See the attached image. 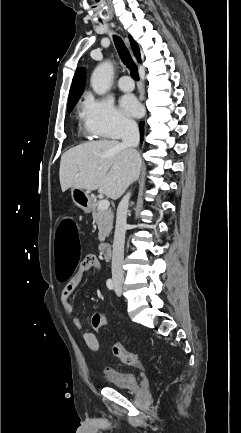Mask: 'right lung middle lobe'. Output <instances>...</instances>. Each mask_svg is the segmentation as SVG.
<instances>
[{
  "mask_svg": "<svg viewBox=\"0 0 241 433\" xmlns=\"http://www.w3.org/2000/svg\"><path fill=\"white\" fill-rule=\"evenodd\" d=\"M74 106L68 107V112H71V110L73 109Z\"/></svg>",
  "mask_w": 241,
  "mask_h": 433,
  "instance_id": "1",
  "label": "right lung middle lobe"
}]
</instances>
